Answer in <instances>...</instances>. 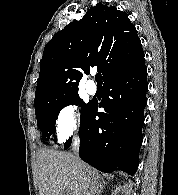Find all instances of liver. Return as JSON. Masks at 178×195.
<instances>
[{
	"instance_id": "liver-1",
	"label": "liver",
	"mask_w": 178,
	"mask_h": 195,
	"mask_svg": "<svg viewBox=\"0 0 178 195\" xmlns=\"http://www.w3.org/2000/svg\"><path fill=\"white\" fill-rule=\"evenodd\" d=\"M99 172L74 154L50 149L37 153L39 195H96Z\"/></svg>"
}]
</instances>
